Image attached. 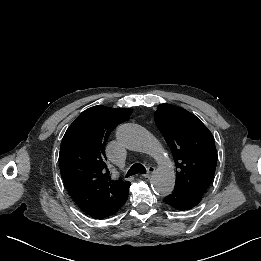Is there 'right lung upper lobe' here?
<instances>
[{
    "label": "right lung upper lobe",
    "instance_id": "cb5924a9",
    "mask_svg": "<svg viewBox=\"0 0 261 261\" xmlns=\"http://www.w3.org/2000/svg\"><path fill=\"white\" fill-rule=\"evenodd\" d=\"M131 114L128 108H88L62 139L59 165L64 184L78 207L92 218L115 210L128 196L130 182L111 179L104 149L111 131Z\"/></svg>",
    "mask_w": 261,
    "mask_h": 261
}]
</instances>
